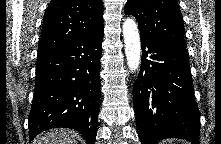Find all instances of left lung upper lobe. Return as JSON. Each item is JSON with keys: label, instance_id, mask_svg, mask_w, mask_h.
<instances>
[{"label": "left lung upper lobe", "instance_id": "left-lung-upper-lobe-1", "mask_svg": "<svg viewBox=\"0 0 221 144\" xmlns=\"http://www.w3.org/2000/svg\"><path fill=\"white\" fill-rule=\"evenodd\" d=\"M125 13L137 19L141 36L185 48L183 17L176 0H127Z\"/></svg>", "mask_w": 221, "mask_h": 144}]
</instances>
